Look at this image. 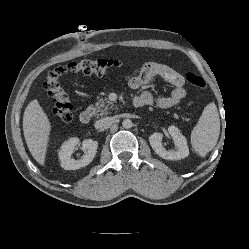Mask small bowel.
Returning a JSON list of instances; mask_svg holds the SVG:
<instances>
[{
	"label": "small bowel",
	"instance_id": "1",
	"mask_svg": "<svg viewBox=\"0 0 249 249\" xmlns=\"http://www.w3.org/2000/svg\"><path fill=\"white\" fill-rule=\"evenodd\" d=\"M154 76H160L173 86L171 94L158 97L155 100L149 91H144L135 96V106L143 107L155 103L157 107L167 109L179 105L186 96L185 78L182 74L166 64L147 62L127 75L125 80L131 89L136 90L146 85Z\"/></svg>",
	"mask_w": 249,
	"mask_h": 249
}]
</instances>
